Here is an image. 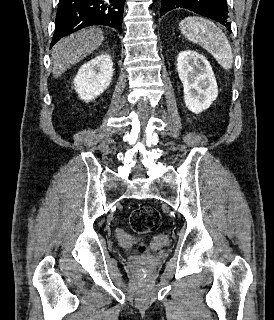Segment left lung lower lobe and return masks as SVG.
<instances>
[{"label": "left lung lower lobe", "instance_id": "0a47b994", "mask_svg": "<svg viewBox=\"0 0 274 320\" xmlns=\"http://www.w3.org/2000/svg\"><path fill=\"white\" fill-rule=\"evenodd\" d=\"M175 8H186L216 20L225 25L231 32V24L227 22L228 8L226 0H162L160 15Z\"/></svg>", "mask_w": 274, "mask_h": 320}]
</instances>
